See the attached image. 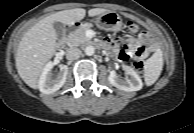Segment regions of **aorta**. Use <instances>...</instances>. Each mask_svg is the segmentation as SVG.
<instances>
[{"instance_id": "aorta-1", "label": "aorta", "mask_w": 194, "mask_h": 133, "mask_svg": "<svg viewBox=\"0 0 194 133\" xmlns=\"http://www.w3.org/2000/svg\"><path fill=\"white\" fill-rule=\"evenodd\" d=\"M84 52L87 56H92L95 52V48L93 46H87L85 49H84Z\"/></svg>"}]
</instances>
